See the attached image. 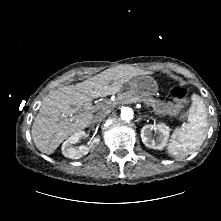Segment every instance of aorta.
<instances>
[{
	"label": "aorta",
	"mask_w": 221,
	"mask_h": 221,
	"mask_svg": "<svg viewBox=\"0 0 221 221\" xmlns=\"http://www.w3.org/2000/svg\"><path fill=\"white\" fill-rule=\"evenodd\" d=\"M133 110L130 107H124L121 110V118L122 120L130 121L133 119Z\"/></svg>",
	"instance_id": "obj_1"
}]
</instances>
